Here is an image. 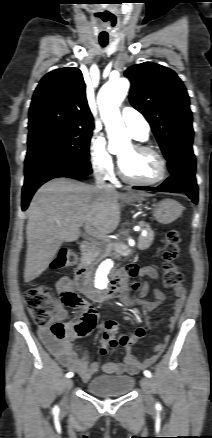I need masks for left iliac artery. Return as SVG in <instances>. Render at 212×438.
Returning a JSON list of instances; mask_svg holds the SVG:
<instances>
[{"label":"left iliac artery","mask_w":212,"mask_h":438,"mask_svg":"<svg viewBox=\"0 0 212 438\" xmlns=\"http://www.w3.org/2000/svg\"><path fill=\"white\" fill-rule=\"evenodd\" d=\"M144 375H145L146 377L150 378V377H151V372L148 371V370H145V371H144ZM157 406H160V404L157 403Z\"/></svg>","instance_id":"1"}]
</instances>
